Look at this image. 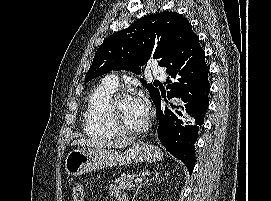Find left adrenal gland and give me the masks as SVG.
<instances>
[{"instance_id": "1", "label": "left adrenal gland", "mask_w": 271, "mask_h": 201, "mask_svg": "<svg viewBox=\"0 0 271 201\" xmlns=\"http://www.w3.org/2000/svg\"><path fill=\"white\" fill-rule=\"evenodd\" d=\"M155 178H158V172H156V174H155V176H154L153 178H151V179H149V180H146L143 184H140V185L137 187V190H136V192H135V194H134V196H133V201L135 200L136 196H137L138 193L140 192L141 188H142L145 184H147V183L151 182L152 180H154Z\"/></svg>"}]
</instances>
